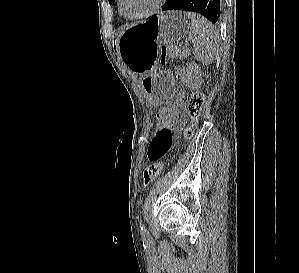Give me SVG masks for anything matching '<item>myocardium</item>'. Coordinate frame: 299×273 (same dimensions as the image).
Returning <instances> with one entry per match:
<instances>
[{
    "label": "myocardium",
    "mask_w": 299,
    "mask_h": 273,
    "mask_svg": "<svg viewBox=\"0 0 299 273\" xmlns=\"http://www.w3.org/2000/svg\"><path fill=\"white\" fill-rule=\"evenodd\" d=\"M166 0H156V2L144 13L137 15V16H127L124 14L122 10V2L123 0H118V10L119 13L128 20H138L149 17L150 15L154 14L157 10H159Z\"/></svg>",
    "instance_id": "1"
}]
</instances>
